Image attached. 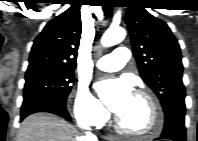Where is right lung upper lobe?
Here are the masks:
<instances>
[{
	"label": "right lung upper lobe",
	"mask_w": 198,
	"mask_h": 141,
	"mask_svg": "<svg viewBox=\"0 0 198 141\" xmlns=\"http://www.w3.org/2000/svg\"><path fill=\"white\" fill-rule=\"evenodd\" d=\"M82 22L80 5L52 19L34 40L27 72L55 69L73 71L77 63Z\"/></svg>",
	"instance_id": "1"
}]
</instances>
